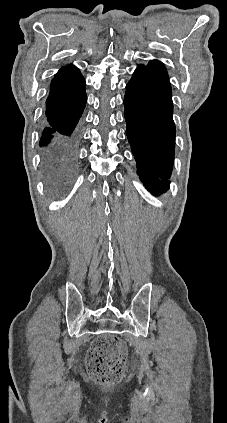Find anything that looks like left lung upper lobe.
Masks as SVG:
<instances>
[{
  "instance_id": "5c2ea615",
  "label": "left lung upper lobe",
  "mask_w": 227,
  "mask_h": 423,
  "mask_svg": "<svg viewBox=\"0 0 227 423\" xmlns=\"http://www.w3.org/2000/svg\"><path fill=\"white\" fill-rule=\"evenodd\" d=\"M135 71L150 72L156 75L157 78H159L163 84H165L171 89L166 68L162 63L158 61H151L147 64V66H138Z\"/></svg>"
}]
</instances>
